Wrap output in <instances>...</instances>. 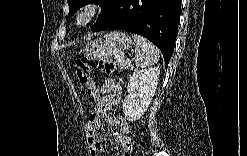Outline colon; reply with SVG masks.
Segmentation results:
<instances>
[{"instance_id": "5ec220e1", "label": "colon", "mask_w": 247, "mask_h": 156, "mask_svg": "<svg viewBox=\"0 0 247 156\" xmlns=\"http://www.w3.org/2000/svg\"><path fill=\"white\" fill-rule=\"evenodd\" d=\"M104 72L105 74L112 75L115 71V64L110 59H99L94 61L87 57H81L76 62V74L79 81L85 85L89 96L95 100L99 98L97 86L92 78L93 70ZM96 106H101V101H96Z\"/></svg>"}]
</instances>
